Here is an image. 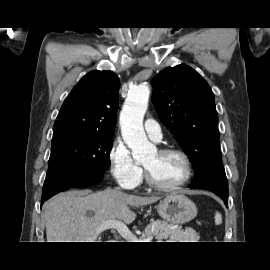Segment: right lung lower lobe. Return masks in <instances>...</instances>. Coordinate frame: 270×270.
<instances>
[{
	"label": "right lung lower lobe",
	"mask_w": 270,
	"mask_h": 270,
	"mask_svg": "<svg viewBox=\"0 0 270 270\" xmlns=\"http://www.w3.org/2000/svg\"><path fill=\"white\" fill-rule=\"evenodd\" d=\"M103 173L89 176L66 169L56 174L46 176L44 181L41 205L53 195L65 191L71 187H85L94 185L102 180Z\"/></svg>",
	"instance_id": "right-lung-lower-lobe-1"
}]
</instances>
